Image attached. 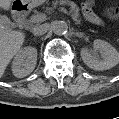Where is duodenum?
<instances>
[{
  "label": "duodenum",
  "mask_w": 119,
  "mask_h": 119,
  "mask_svg": "<svg viewBox=\"0 0 119 119\" xmlns=\"http://www.w3.org/2000/svg\"><path fill=\"white\" fill-rule=\"evenodd\" d=\"M28 13V9L23 4H18L15 8V17L19 23H22Z\"/></svg>",
  "instance_id": "duodenum-1"
}]
</instances>
